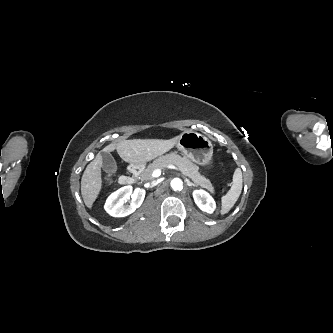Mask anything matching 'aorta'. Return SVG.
<instances>
[{
    "mask_svg": "<svg viewBox=\"0 0 333 333\" xmlns=\"http://www.w3.org/2000/svg\"><path fill=\"white\" fill-rule=\"evenodd\" d=\"M171 187L174 191H181L183 189V182L179 178H174L171 181Z\"/></svg>",
    "mask_w": 333,
    "mask_h": 333,
    "instance_id": "1",
    "label": "aorta"
}]
</instances>
